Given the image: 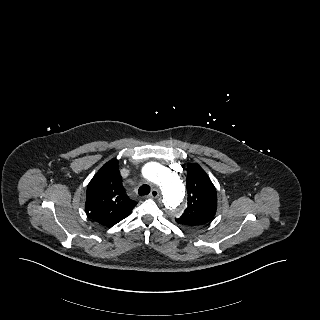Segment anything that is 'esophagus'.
Returning a JSON list of instances; mask_svg holds the SVG:
<instances>
[{"label": "esophagus", "mask_w": 320, "mask_h": 320, "mask_svg": "<svg viewBox=\"0 0 320 320\" xmlns=\"http://www.w3.org/2000/svg\"><path fill=\"white\" fill-rule=\"evenodd\" d=\"M160 192L157 189H152L149 196L150 198H157L159 196Z\"/></svg>", "instance_id": "obj_1"}]
</instances>
